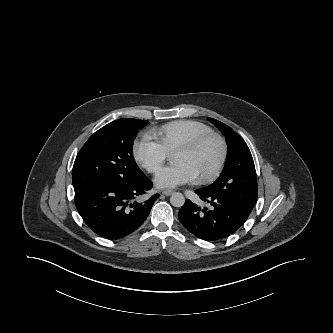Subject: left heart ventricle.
<instances>
[{
    "instance_id": "b2bd125f",
    "label": "left heart ventricle",
    "mask_w": 333,
    "mask_h": 333,
    "mask_svg": "<svg viewBox=\"0 0 333 333\" xmlns=\"http://www.w3.org/2000/svg\"><path fill=\"white\" fill-rule=\"evenodd\" d=\"M220 155V143L211 139L192 152L175 154L172 159L184 164L197 178L211 172L218 163Z\"/></svg>"
}]
</instances>
